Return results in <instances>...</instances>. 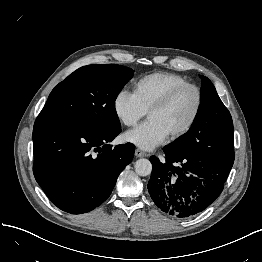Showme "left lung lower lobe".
Returning <instances> with one entry per match:
<instances>
[{
    "mask_svg": "<svg viewBox=\"0 0 262 262\" xmlns=\"http://www.w3.org/2000/svg\"><path fill=\"white\" fill-rule=\"evenodd\" d=\"M220 160L175 153L164 147L165 162L150 157L148 183L154 203L171 216L185 219L205 210L221 194L234 162V147Z\"/></svg>",
    "mask_w": 262,
    "mask_h": 262,
    "instance_id": "left-lung-lower-lobe-1",
    "label": "left lung lower lobe"
}]
</instances>
